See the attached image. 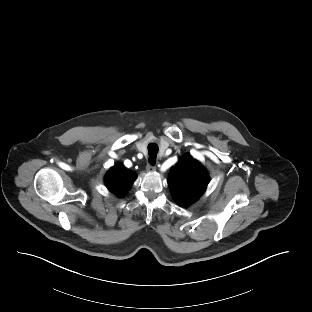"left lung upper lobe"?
Here are the masks:
<instances>
[{
    "mask_svg": "<svg viewBox=\"0 0 312 312\" xmlns=\"http://www.w3.org/2000/svg\"><path fill=\"white\" fill-rule=\"evenodd\" d=\"M168 185L174 200L181 206H189L205 191L209 175L192 156L186 155L172 167Z\"/></svg>",
    "mask_w": 312,
    "mask_h": 312,
    "instance_id": "obj_1",
    "label": "left lung upper lobe"
}]
</instances>
